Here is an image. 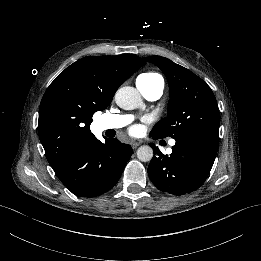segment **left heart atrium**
<instances>
[{"instance_id": "39dd6f15", "label": "left heart atrium", "mask_w": 261, "mask_h": 261, "mask_svg": "<svg viewBox=\"0 0 261 261\" xmlns=\"http://www.w3.org/2000/svg\"><path fill=\"white\" fill-rule=\"evenodd\" d=\"M130 132L133 134V135H136L138 133V129L136 127H132L130 129Z\"/></svg>"}]
</instances>
